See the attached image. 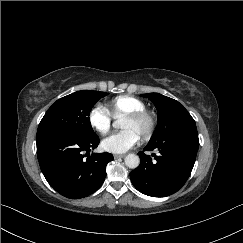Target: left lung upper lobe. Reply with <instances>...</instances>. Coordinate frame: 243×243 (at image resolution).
Here are the masks:
<instances>
[{"label":"left lung upper lobe","mask_w":243,"mask_h":243,"mask_svg":"<svg viewBox=\"0 0 243 243\" xmlns=\"http://www.w3.org/2000/svg\"><path fill=\"white\" fill-rule=\"evenodd\" d=\"M142 96L152 100L158 109L157 127L149 142L159 141L184 128L196 126L189 112L178 101L159 93H148Z\"/></svg>","instance_id":"obj_1"}]
</instances>
